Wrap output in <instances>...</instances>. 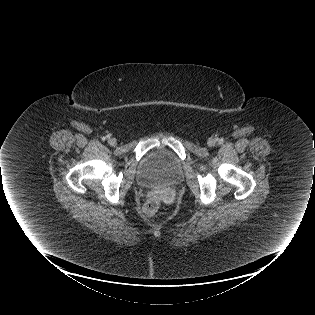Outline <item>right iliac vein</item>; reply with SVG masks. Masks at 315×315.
I'll use <instances>...</instances> for the list:
<instances>
[{"label":"right iliac vein","mask_w":315,"mask_h":315,"mask_svg":"<svg viewBox=\"0 0 315 315\" xmlns=\"http://www.w3.org/2000/svg\"><path fill=\"white\" fill-rule=\"evenodd\" d=\"M108 143H109L111 146H115V145L117 144V141H116V139H114V138H110V139L108 140Z\"/></svg>","instance_id":"63e3f726"}]
</instances>
